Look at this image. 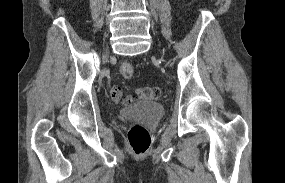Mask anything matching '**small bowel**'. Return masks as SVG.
Listing matches in <instances>:
<instances>
[{
  "mask_svg": "<svg viewBox=\"0 0 285 183\" xmlns=\"http://www.w3.org/2000/svg\"><path fill=\"white\" fill-rule=\"evenodd\" d=\"M111 95L112 96V99L115 100V101H118L120 100L121 98V90L119 87L117 86H114L112 89H111Z\"/></svg>",
  "mask_w": 285,
  "mask_h": 183,
  "instance_id": "c3829d8e",
  "label": "small bowel"
}]
</instances>
